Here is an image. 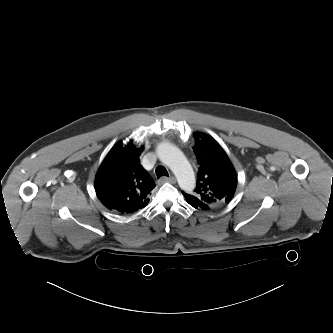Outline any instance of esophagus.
<instances>
[{"mask_svg":"<svg viewBox=\"0 0 333 333\" xmlns=\"http://www.w3.org/2000/svg\"><path fill=\"white\" fill-rule=\"evenodd\" d=\"M165 182L175 183L176 179H175V177L171 176V177H161L158 180V183H160V184L165 183Z\"/></svg>","mask_w":333,"mask_h":333,"instance_id":"1","label":"esophagus"}]
</instances>
